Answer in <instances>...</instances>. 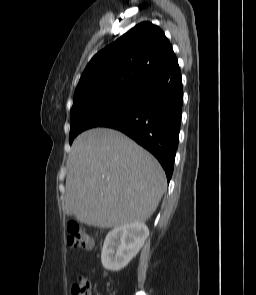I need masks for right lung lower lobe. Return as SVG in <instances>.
Wrapping results in <instances>:
<instances>
[{
  "mask_svg": "<svg viewBox=\"0 0 256 295\" xmlns=\"http://www.w3.org/2000/svg\"><path fill=\"white\" fill-rule=\"evenodd\" d=\"M135 93V101L129 108L98 126L119 130L150 151L161 163L169 182L178 146L183 101L177 58Z\"/></svg>",
  "mask_w": 256,
  "mask_h": 295,
  "instance_id": "obj_1",
  "label": "right lung lower lobe"
}]
</instances>
